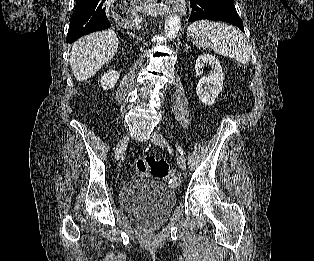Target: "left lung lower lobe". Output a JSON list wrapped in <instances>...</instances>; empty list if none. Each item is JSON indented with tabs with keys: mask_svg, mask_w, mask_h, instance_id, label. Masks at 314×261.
<instances>
[{
	"mask_svg": "<svg viewBox=\"0 0 314 261\" xmlns=\"http://www.w3.org/2000/svg\"><path fill=\"white\" fill-rule=\"evenodd\" d=\"M192 12L189 22L201 19L225 21L239 27L244 32L242 20L237 14L232 0H190Z\"/></svg>",
	"mask_w": 314,
	"mask_h": 261,
	"instance_id": "obj_1",
	"label": "left lung lower lobe"
}]
</instances>
